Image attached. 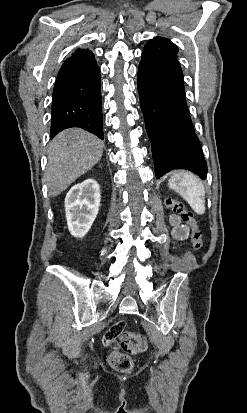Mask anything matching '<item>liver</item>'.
<instances>
[{
  "mask_svg": "<svg viewBox=\"0 0 247 413\" xmlns=\"http://www.w3.org/2000/svg\"><path fill=\"white\" fill-rule=\"evenodd\" d=\"M103 146V140L82 128H66L59 132L48 150L45 174L49 196H57L90 170L100 160Z\"/></svg>",
  "mask_w": 247,
  "mask_h": 413,
  "instance_id": "6515ba94",
  "label": "liver"
}]
</instances>
